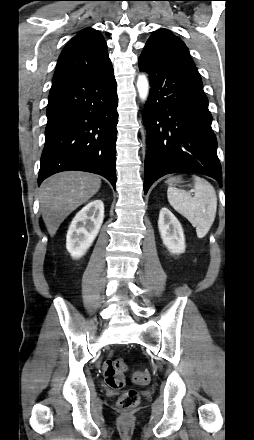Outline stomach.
Instances as JSON below:
<instances>
[{
  "label": "stomach",
  "instance_id": "1",
  "mask_svg": "<svg viewBox=\"0 0 254 440\" xmlns=\"http://www.w3.org/2000/svg\"><path fill=\"white\" fill-rule=\"evenodd\" d=\"M166 182H167L169 185H176L177 183H180V182H181V179H180V178H177V177H172V178H169Z\"/></svg>",
  "mask_w": 254,
  "mask_h": 440
}]
</instances>
